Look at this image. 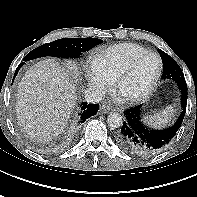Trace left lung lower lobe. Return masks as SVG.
I'll return each instance as SVG.
<instances>
[{
    "mask_svg": "<svg viewBox=\"0 0 197 197\" xmlns=\"http://www.w3.org/2000/svg\"><path fill=\"white\" fill-rule=\"evenodd\" d=\"M181 90L182 111L176 122L165 129H152L142 119L141 105L124 112L125 120L116 135L117 144L126 152L140 158L151 157L164 150L183 122L187 106V84L178 83Z\"/></svg>",
    "mask_w": 197,
    "mask_h": 197,
    "instance_id": "obj_1",
    "label": "left lung lower lobe"
}]
</instances>
